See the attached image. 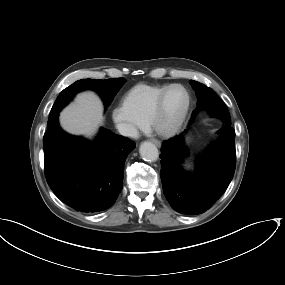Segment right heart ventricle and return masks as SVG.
<instances>
[{"instance_id": "obj_1", "label": "right heart ventricle", "mask_w": 285, "mask_h": 285, "mask_svg": "<svg viewBox=\"0 0 285 285\" xmlns=\"http://www.w3.org/2000/svg\"><path fill=\"white\" fill-rule=\"evenodd\" d=\"M167 86L138 84L127 91L123 102L137 119L145 122L151 109Z\"/></svg>"}]
</instances>
